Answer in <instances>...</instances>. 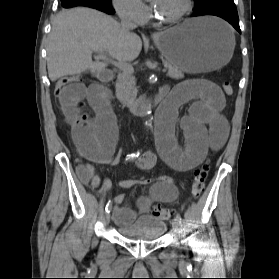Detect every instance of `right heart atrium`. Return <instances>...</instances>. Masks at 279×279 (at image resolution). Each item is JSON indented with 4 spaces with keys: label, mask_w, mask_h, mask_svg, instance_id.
Listing matches in <instances>:
<instances>
[{
    "label": "right heart atrium",
    "mask_w": 279,
    "mask_h": 279,
    "mask_svg": "<svg viewBox=\"0 0 279 279\" xmlns=\"http://www.w3.org/2000/svg\"><path fill=\"white\" fill-rule=\"evenodd\" d=\"M112 5L122 19L142 23L149 15V9L141 0H112Z\"/></svg>",
    "instance_id": "d8ad5b80"
}]
</instances>
